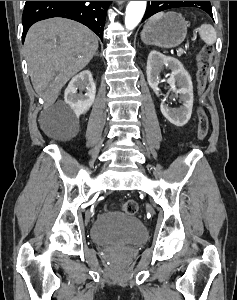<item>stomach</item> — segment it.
<instances>
[{"mask_svg": "<svg viewBox=\"0 0 237 300\" xmlns=\"http://www.w3.org/2000/svg\"><path fill=\"white\" fill-rule=\"evenodd\" d=\"M187 35V23L179 13H165L159 21L147 23L141 33V41L157 47H177Z\"/></svg>", "mask_w": 237, "mask_h": 300, "instance_id": "0dacf381", "label": "stomach"}]
</instances>
